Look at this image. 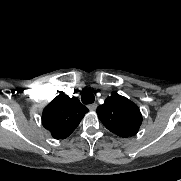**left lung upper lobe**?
I'll return each mask as SVG.
<instances>
[{"mask_svg":"<svg viewBox=\"0 0 181 181\" xmlns=\"http://www.w3.org/2000/svg\"><path fill=\"white\" fill-rule=\"evenodd\" d=\"M97 114L108 130L123 138L136 135L142 123L138 106L116 92L97 108Z\"/></svg>","mask_w":181,"mask_h":181,"instance_id":"left-lung-upper-lobe-1","label":"left lung upper lobe"}]
</instances>
